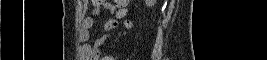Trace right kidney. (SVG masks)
<instances>
[{
	"label": "right kidney",
	"mask_w": 267,
	"mask_h": 60,
	"mask_svg": "<svg viewBox=\"0 0 267 60\" xmlns=\"http://www.w3.org/2000/svg\"><path fill=\"white\" fill-rule=\"evenodd\" d=\"M145 3L148 7H152L156 3V0H145Z\"/></svg>",
	"instance_id": "ca27d5eb"
}]
</instances>
